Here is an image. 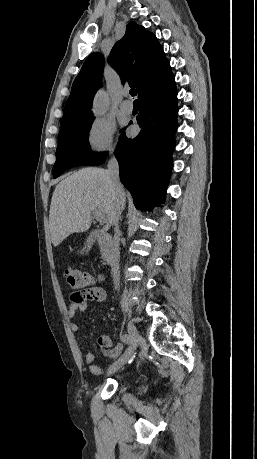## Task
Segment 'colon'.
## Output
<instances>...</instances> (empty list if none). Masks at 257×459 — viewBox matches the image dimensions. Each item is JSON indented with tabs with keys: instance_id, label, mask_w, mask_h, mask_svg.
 Masks as SVG:
<instances>
[{
	"instance_id": "obj_1",
	"label": "colon",
	"mask_w": 257,
	"mask_h": 459,
	"mask_svg": "<svg viewBox=\"0 0 257 459\" xmlns=\"http://www.w3.org/2000/svg\"><path fill=\"white\" fill-rule=\"evenodd\" d=\"M66 283L76 291L75 300L82 301L89 296L88 285L92 281V276L83 270L69 267L64 271Z\"/></svg>"
}]
</instances>
